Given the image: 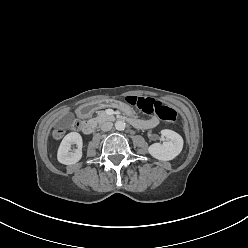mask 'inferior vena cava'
<instances>
[{
	"label": "inferior vena cava",
	"mask_w": 248,
	"mask_h": 248,
	"mask_svg": "<svg viewBox=\"0 0 248 248\" xmlns=\"http://www.w3.org/2000/svg\"><path fill=\"white\" fill-rule=\"evenodd\" d=\"M112 127H113V123L108 121V122H105L101 125V130L102 131H109L112 129Z\"/></svg>",
	"instance_id": "obj_1"
}]
</instances>
